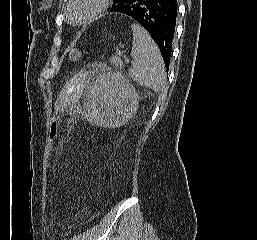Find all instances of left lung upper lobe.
<instances>
[{"mask_svg": "<svg viewBox=\"0 0 257 240\" xmlns=\"http://www.w3.org/2000/svg\"><path fill=\"white\" fill-rule=\"evenodd\" d=\"M123 0H113V4L111 8H115L116 6H118Z\"/></svg>", "mask_w": 257, "mask_h": 240, "instance_id": "1", "label": "left lung upper lobe"}]
</instances>
